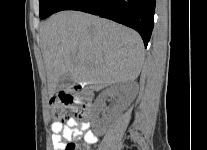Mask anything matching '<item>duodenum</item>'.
<instances>
[{"label":"duodenum","mask_w":207,"mask_h":150,"mask_svg":"<svg viewBox=\"0 0 207 150\" xmlns=\"http://www.w3.org/2000/svg\"><path fill=\"white\" fill-rule=\"evenodd\" d=\"M75 89L76 90H81V86L80 85H76ZM86 97L89 99L90 98V93H86Z\"/></svg>","instance_id":"duodenum-1"}]
</instances>
